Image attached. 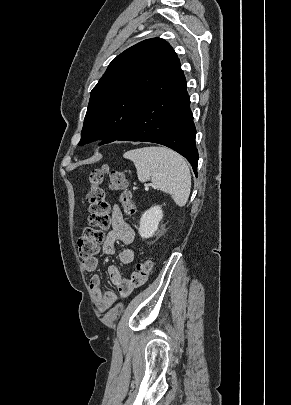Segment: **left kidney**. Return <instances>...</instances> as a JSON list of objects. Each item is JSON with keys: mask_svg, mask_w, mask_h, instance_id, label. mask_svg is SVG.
Wrapping results in <instances>:
<instances>
[{"mask_svg": "<svg viewBox=\"0 0 291 405\" xmlns=\"http://www.w3.org/2000/svg\"><path fill=\"white\" fill-rule=\"evenodd\" d=\"M163 218L161 206H154L145 211L140 219L139 234L142 238H150L158 230L159 222Z\"/></svg>", "mask_w": 291, "mask_h": 405, "instance_id": "1", "label": "left kidney"}]
</instances>
